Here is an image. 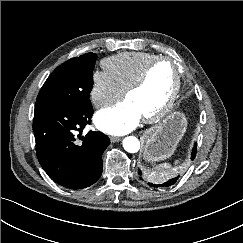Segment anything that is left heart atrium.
I'll return each mask as SVG.
<instances>
[{
    "label": "left heart atrium",
    "mask_w": 243,
    "mask_h": 243,
    "mask_svg": "<svg viewBox=\"0 0 243 243\" xmlns=\"http://www.w3.org/2000/svg\"><path fill=\"white\" fill-rule=\"evenodd\" d=\"M143 116L140 109L126 98L99 110L95 124L106 133L121 135L133 130Z\"/></svg>",
    "instance_id": "left-heart-atrium-1"
}]
</instances>
